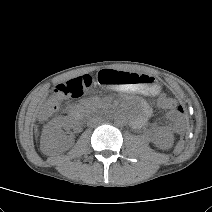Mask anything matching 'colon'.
I'll return each mask as SVG.
<instances>
[{
  "label": "colon",
  "instance_id": "1",
  "mask_svg": "<svg viewBox=\"0 0 212 212\" xmlns=\"http://www.w3.org/2000/svg\"><path fill=\"white\" fill-rule=\"evenodd\" d=\"M95 76L86 74L66 82L60 83L55 87L52 98L42 107L41 117L47 118L56 111L65 98H78L89 92L97 83ZM159 105L169 110V118L179 125L185 115L183 105L179 104L174 98L162 94L158 99Z\"/></svg>",
  "mask_w": 212,
  "mask_h": 212
}]
</instances>
